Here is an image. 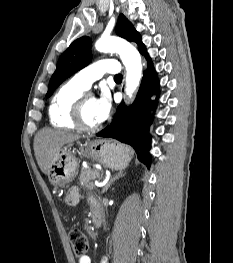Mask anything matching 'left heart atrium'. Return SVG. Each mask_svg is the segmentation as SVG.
I'll return each instance as SVG.
<instances>
[{
    "instance_id": "1",
    "label": "left heart atrium",
    "mask_w": 233,
    "mask_h": 263,
    "mask_svg": "<svg viewBox=\"0 0 233 263\" xmlns=\"http://www.w3.org/2000/svg\"><path fill=\"white\" fill-rule=\"evenodd\" d=\"M111 110V97L106 89H102L94 101V120L97 124L102 123L109 116Z\"/></svg>"
}]
</instances>
